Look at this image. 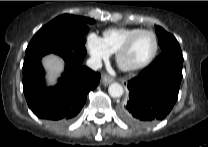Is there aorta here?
Returning a JSON list of instances; mask_svg holds the SVG:
<instances>
[{"label":"aorta","mask_w":208,"mask_h":147,"mask_svg":"<svg viewBox=\"0 0 208 147\" xmlns=\"http://www.w3.org/2000/svg\"><path fill=\"white\" fill-rule=\"evenodd\" d=\"M108 92L111 97L118 98L123 95L124 90L121 84L112 83L109 85Z\"/></svg>","instance_id":"1"}]
</instances>
